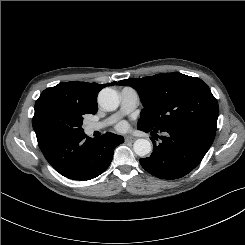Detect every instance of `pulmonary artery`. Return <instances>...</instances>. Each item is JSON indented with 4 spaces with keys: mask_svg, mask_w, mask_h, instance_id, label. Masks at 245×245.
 <instances>
[{
    "mask_svg": "<svg viewBox=\"0 0 245 245\" xmlns=\"http://www.w3.org/2000/svg\"><path fill=\"white\" fill-rule=\"evenodd\" d=\"M121 96V107L118 113L110 116L109 118L100 121L92 122L86 125V131L92 133L94 131L101 130L106 126L114 123L120 116L133 111L139 103L138 92L131 87H124L120 93Z\"/></svg>",
    "mask_w": 245,
    "mask_h": 245,
    "instance_id": "1",
    "label": "pulmonary artery"
}]
</instances>
